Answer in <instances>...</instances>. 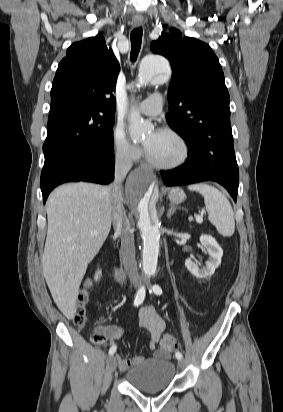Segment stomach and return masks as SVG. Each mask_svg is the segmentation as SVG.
Segmentation results:
<instances>
[{
    "label": "stomach",
    "mask_w": 283,
    "mask_h": 412,
    "mask_svg": "<svg viewBox=\"0 0 283 412\" xmlns=\"http://www.w3.org/2000/svg\"><path fill=\"white\" fill-rule=\"evenodd\" d=\"M168 198L173 203H180L186 199V195L182 189L172 188L169 190Z\"/></svg>",
    "instance_id": "0dacf381"
}]
</instances>
